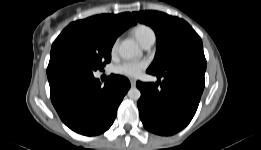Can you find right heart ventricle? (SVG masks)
I'll return each instance as SVG.
<instances>
[{"mask_svg": "<svg viewBox=\"0 0 261 150\" xmlns=\"http://www.w3.org/2000/svg\"><path fill=\"white\" fill-rule=\"evenodd\" d=\"M133 34L136 37V39L139 41L140 44L143 43V41L150 35L154 34L153 30L144 24L137 25L133 29Z\"/></svg>", "mask_w": 261, "mask_h": 150, "instance_id": "right-heart-ventricle-1", "label": "right heart ventricle"}]
</instances>
